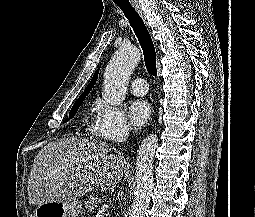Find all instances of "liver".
Returning a JSON list of instances; mask_svg holds the SVG:
<instances>
[{"label":"liver","mask_w":255,"mask_h":217,"mask_svg":"<svg viewBox=\"0 0 255 217\" xmlns=\"http://www.w3.org/2000/svg\"><path fill=\"white\" fill-rule=\"evenodd\" d=\"M105 142L65 138L47 144L35 157L28 180L30 204L76 199L100 186L107 190L123 176L125 160L109 154Z\"/></svg>","instance_id":"1"}]
</instances>
